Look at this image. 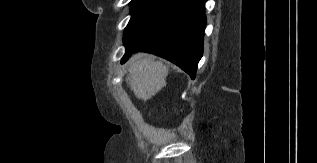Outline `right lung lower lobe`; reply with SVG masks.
<instances>
[{"mask_svg": "<svg viewBox=\"0 0 317 163\" xmlns=\"http://www.w3.org/2000/svg\"><path fill=\"white\" fill-rule=\"evenodd\" d=\"M206 0H178L160 18L123 40L124 62L138 51L160 56L176 64L193 79L203 53Z\"/></svg>", "mask_w": 317, "mask_h": 163, "instance_id": "1", "label": "right lung lower lobe"}]
</instances>
